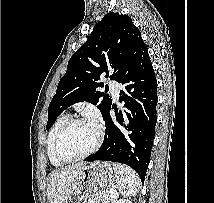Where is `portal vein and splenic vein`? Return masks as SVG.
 Segmentation results:
<instances>
[{
    "mask_svg": "<svg viewBox=\"0 0 214 203\" xmlns=\"http://www.w3.org/2000/svg\"><path fill=\"white\" fill-rule=\"evenodd\" d=\"M116 194H117V192H116L115 190H111V191H110V196H111V197H115Z\"/></svg>",
    "mask_w": 214,
    "mask_h": 203,
    "instance_id": "18ae733b",
    "label": "portal vein and splenic vein"
}]
</instances>
